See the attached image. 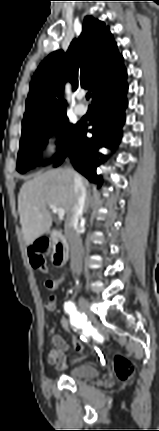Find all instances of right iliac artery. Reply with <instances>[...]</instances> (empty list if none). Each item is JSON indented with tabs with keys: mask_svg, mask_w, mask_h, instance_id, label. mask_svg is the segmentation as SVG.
<instances>
[{
	"mask_svg": "<svg viewBox=\"0 0 159 431\" xmlns=\"http://www.w3.org/2000/svg\"><path fill=\"white\" fill-rule=\"evenodd\" d=\"M64 309L69 314L70 322L73 326L81 328L86 336H90L93 333L90 323L86 321V317L80 314L72 301L66 302Z\"/></svg>",
	"mask_w": 159,
	"mask_h": 431,
	"instance_id": "right-iliac-artery-1",
	"label": "right iliac artery"
}]
</instances>
